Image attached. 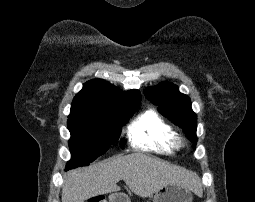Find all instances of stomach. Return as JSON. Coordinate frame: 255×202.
<instances>
[{
  "label": "stomach",
  "mask_w": 255,
  "mask_h": 202,
  "mask_svg": "<svg viewBox=\"0 0 255 202\" xmlns=\"http://www.w3.org/2000/svg\"><path fill=\"white\" fill-rule=\"evenodd\" d=\"M191 190L176 183L168 184L156 191L153 202H192ZM109 202H130V199L121 193L109 196Z\"/></svg>",
  "instance_id": "stomach-1"
}]
</instances>
